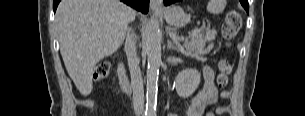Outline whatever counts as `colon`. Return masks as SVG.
Wrapping results in <instances>:
<instances>
[{
	"mask_svg": "<svg viewBox=\"0 0 305 116\" xmlns=\"http://www.w3.org/2000/svg\"><path fill=\"white\" fill-rule=\"evenodd\" d=\"M241 28V17L236 11H229L226 16L222 26V35L226 41H231L239 32ZM219 74L217 76V85L220 88H224L228 85V77L233 70L232 64L226 60L222 59L218 65ZM110 71V65L107 62L98 63L93 71V79L95 81L101 80L108 76Z\"/></svg>",
	"mask_w": 305,
	"mask_h": 116,
	"instance_id": "5ec220e1",
	"label": "colon"
}]
</instances>
